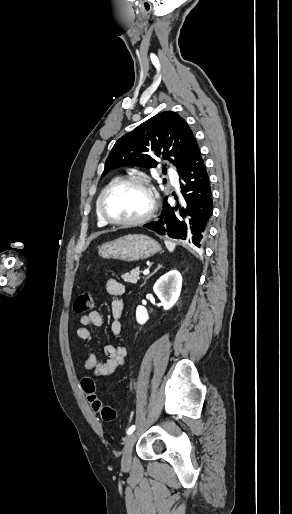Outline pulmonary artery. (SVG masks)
<instances>
[{
  "label": "pulmonary artery",
  "instance_id": "e3ab8cb5",
  "mask_svg": "<svg viewBox=\"0 0 292 514\" xmlns=\"http://www.w3.org/2000/svg\"><path fill=\"white\" fill-rule=\"evenodd\" d=\"M172 182L173 184H177V175L175 172L172 173Z\"/></svg>",
  "mask_w": 292,
  "mask_h": 514
}]
</instances>
